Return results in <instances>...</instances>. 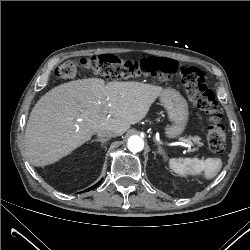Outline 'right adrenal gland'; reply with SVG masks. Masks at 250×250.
<instances>
[{"mask_svg":"<svg viewBox=\"0 0 250 250\" xmlns=\"http://www.w3.org/2000/svg\"><path fill=\"white\" fill-rule=\"evenodd\" d=\"M109 140V138H98V139H95V140H92V142H101V146H104V144Z\"/></svg>","mask_w":250,"mask_h":250,"instance_id":"2a0ac1e0","label":"right adrenal gland"}]
</instances>
